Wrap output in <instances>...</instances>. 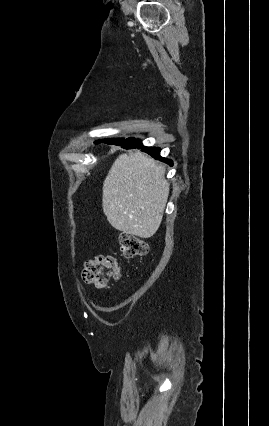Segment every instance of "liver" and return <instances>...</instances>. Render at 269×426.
Segmentation results:
<instances>
[{
	"label": "liver",
	"instance_id": "6515ba94",
	"mask_svg": "<svg viewBox=\"0 0 269 426\" xmlns=\"http://www.w3.org/2000/svg\"><path fill=\"white\" fill-rule=\"evenodd\" d=\"M169 189L164 166L140 151L123 153L104 180L103 212L115 229L150 238L161 224Z\"/></svg>",
	"mask_w": 269,
	"mask_h": 426
}]
</instances>
